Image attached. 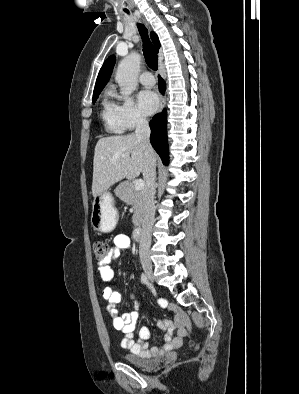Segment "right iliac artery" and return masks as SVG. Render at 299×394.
<instances>
[{
  "instance_id": "82829eb1",
  "label": "right iliac artery",
  "mask_w": 299,
  "mask_h": 394,
  "mask_svg": "<svg viewBox=\"0 0 299 394\" xmlns=\"http://www.w3.org/2000/svg\"><path fill=\"white\" fill-rule=\"evenodd\" d=\"M141 281L143 284H147L148 282L147 276L144 273L141 274Z\"/></svg>"
}]
</instances>
